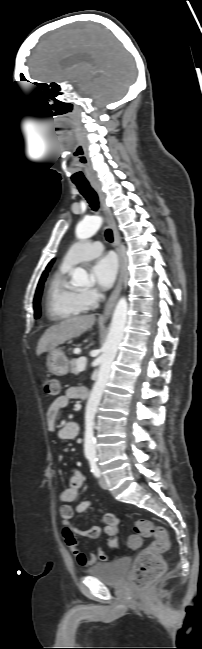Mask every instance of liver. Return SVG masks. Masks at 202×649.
<instances>
[{
    "label": "liver",
    "mask_w": 202,
    "mask_h": 649,
    "mask_svg": "<svg viewBox=\"0 0 202 649\" xmlns=\"http://www.w3.org/2000/svg\"><path fill=\"white\" fill-rule=\"evenodd\" d=\"M95 323L94 315L71 317L48 328L40 338L36 354L51 351L71 338L79 337Z\"/></svg>",
    "instance_id": "6515ba94"
}]
</instances>
